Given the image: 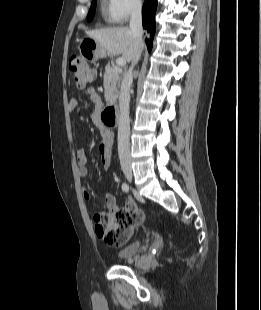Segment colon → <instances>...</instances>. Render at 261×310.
I'll return each mask as SVG.
<instances>
[{"label":"colon","mask_w":261,"mask_h":310,"mask_svg":"<svg viewBox=\"0 0 261 310\" xmlns=\"http://www.w3.org/2000/svg\"><path fill=\"white\" fill-rule=\"evenodd\" d=\"M69 67L76 88L83 89L94 82L95 71L83 58L73 57ZM123 208L114 214L97 213L94 216L96 234L109 246L123 245L134 227H142L144 211L143 208H138L136 200H127Z\"/></svg>","instance_id":"colon-1"}]
</instances>
